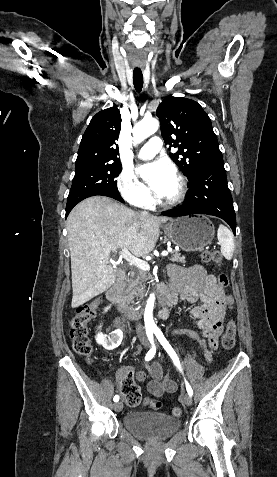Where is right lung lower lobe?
Segmentation results:
<instances>
[{"instance_id":"right-lung-lower-lobe-1","label":"right lung lower lobe","mask_w":277,"mask_h":477,"mask_svg":"<svg viewBox=\"0 0 277 477\" xmlns=\"http://www.w3.org/2000/svg\"><path fill=\"white\" fill-rule=\"evenodd\" d=\"M102 196H108V197L114 198V199H116V200H118V201L124 202V200L121 198L120 195H102ZM70 211H71V210H66V217L68 216V214H69Z\"/></svg>"}]
</instances>
